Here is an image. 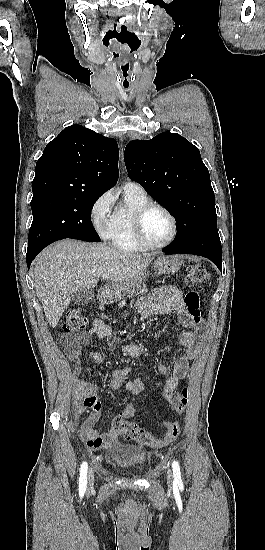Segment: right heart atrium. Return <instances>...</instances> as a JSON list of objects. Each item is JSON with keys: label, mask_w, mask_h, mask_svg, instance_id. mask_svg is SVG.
I'll return each mask as SVG.
<instances>
[{"label": "right heart atrium", "mask_w": 265, "mask_h": 550, "mask_svg": "<svg viewBox=\"0 0 265 550\" xmlns=\"http://www.w3.org/2000/svg\"><path fill=\"white\" fill-rule=\"evenodd\" d=\"M113 205V195L111 192H105L101 194L92 204L90 215L92 224L97 231V233L106 237L110 218H111V208Z\"/></svg>", "instance_id": "1"}]
</instances>
